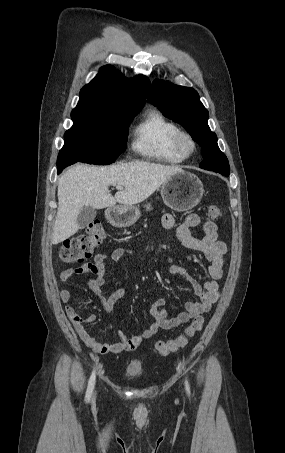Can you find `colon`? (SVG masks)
<instances>
[{
  "label": "colon",
  "instance_id": "1",
  "mask_svg": "<svg viewBox=\"0 0 285 453\" xmlns=\"http://www.w3.org/2000/svg\"><path fill=\"white\" fill-rule=\"evenodd\" d=\"M221 216V210L218 206L212 205L208 208V217L216 219ZM106 234L100 221L91 222L85 233L66 240L59 253L58 260L62 263L70 264L81 262L89 258L95 247L103 243ZM203 319L195 318L184 332L174 339L159 341L155 345V352L161 356H168L187 345L190 338L194 337L202 329Z\"/></svg>",
  "mask_w": 285,
  "mask_h": 453
}]
</instances>
